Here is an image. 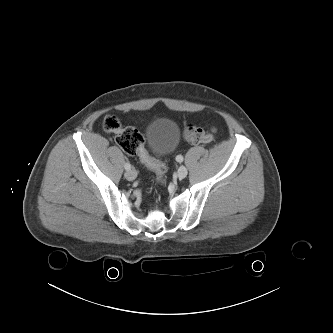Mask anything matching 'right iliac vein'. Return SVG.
<instances>
[{
	"label": "right iliac vein",
	"instance_id": "63e3f726",
	"mask_svg": "<svg viewBox=\"0 0 333 333\" xmlns=\"http://www.w3.org/2000/svg\"><path fill=\"white\" fill-rule=\"evenodd\" d=\"M125 177L127 180H134L137 177V173L134 169H130L125 173Z\"/></svg>",
	"mask_w": 333,
	"mask_h": 333
}]
</instances>
